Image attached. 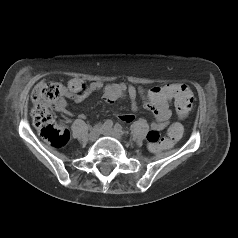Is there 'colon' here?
Wrapping results in <instances>:
<instances>
[{"mask_svg": "<svg viewBox=\"0 0 238 238\" xmlns=\"http://www.w3.org/2000/svg\"><path fill=\"white\" fill-rule=\"evenodd\" d=\"M65 92L63 85L54 81H41L32 92L33 124L41 137L56 147H62L69 140V132L62 125L57 124L51 114L52 107H56L63 100ZM167 94L175 99L176 117L183 121L187 120L194 100L191 90L184 84H177L167 91ZM182 131L181 125L174 123L169 127L167 137L161 138V130L151 129L147 134V140L151 145L150 150L157 152L162 148L171 147L181 137Z\"/></svg>", "mask_w": 238, "mask_h": 238, "instance_id": "1", "label": "colon"}]
</instances>
